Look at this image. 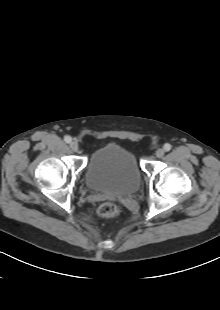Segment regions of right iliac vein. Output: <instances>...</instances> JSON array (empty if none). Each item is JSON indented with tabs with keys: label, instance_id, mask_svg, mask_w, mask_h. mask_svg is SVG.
<instances>
[{
	"label": "right iliac vein",
	"instance_id": "obj_1",
	"mask_svg": "<svg viewBox=\"0 0 220 310\" xmlns=\"http://www.w3.org/2000/svg\"><path fill=\"white\" fill-rule=\"evenodd\" d=\"M70 148L74 151L77 152L79 150V145L77 142L73 141L70 143Z\"/></svg>",
	"mask_w": 220,
	"mask_h": 310
}]
</instances>
